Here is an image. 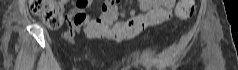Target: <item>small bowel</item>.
<instances>
[{
    "label": "small bowel",
    "instance_id": "obj_1",
    "mask_svg": "<svg viewBox=\"0 0 238 70\" xmlns=\"http://www.w3.org/2000/svg\"><path fill=\"white\" fill-rule=\"evenodd\" d=\"M91 2V0H80L70 12L69 30L62 35L65 40L73 43L76 36L85 35L89 39L122 41L140 33L148 26L166 21L172 16L179 3L176 0H139L142 13L131 10L128 21L114 25L118 17L125 16L124 13L118 11L115 2H107L103 13L94 18L88 17L85 13ZM67 3V0L60 1L62 8Z\"/></svg>",
    "mask_w": 238,
    "mask_h": 70
}]
</instances>
